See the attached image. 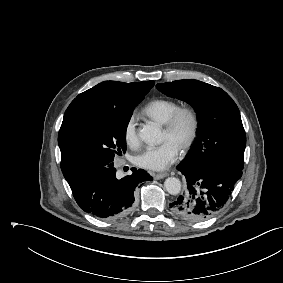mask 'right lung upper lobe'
I'll return each instance as SVG.
<instances>
[{"mask_svg": "<svg viewBox=\"0 0 283 283\" xmlns=\"http://www.w3.org/2000/svg\"><path fill=\"white\" fill-rule=\"evenodd\" d=\"M154 86L153 81L123 83L104 81L93 88L79 94L69 105L66 112L75 107H116L140 100ZM65 112V113H66ZM82 170L62 169L68 180Z\"/></svg>", "mask_w": 283, "mask_h": 283, "instance_id": "cb5924a9", "label": "right lung upper lobe"}]
</instances>
